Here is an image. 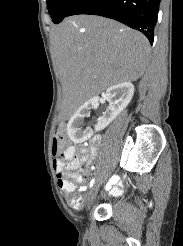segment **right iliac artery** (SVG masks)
<instances>
[{
  "instance_id": "obj_1",
  "label": "right iliac artery",
  "mask_w": 183,
  "mask_h": 246,
  "mask_svg": "<svg viewBox=\"0 0 183 246\" xmlns=\"http://www.w3.org/2000/svg\"><path fill=\"white\" fill-rule=\"evenodd\" d=\"M116 181H117V177L116 176L112 177V179L110 180L109 184L106 186V189L108 190L111 187L112 184L116 183ZM93 184H94V179H92L91 182H90V188L93 186Z\"/></svg>"
}]
</instances>
